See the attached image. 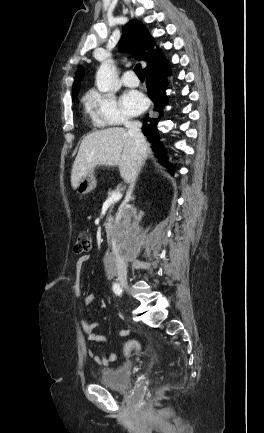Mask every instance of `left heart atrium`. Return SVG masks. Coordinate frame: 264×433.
<instances>
[{"label": "left heart atrium", "instance_id": "1", "mask_svg": "<svg viewBox=\"0 0 264 433\" xmlns=\"http://www.w3.org/2000/svg\"><path fill=\"white\" fill-rule=\"evenodd\" d=\"M122 105L130 115L140 114L147 106L144 96L137 91H130L123 95Z\"/></svg>", "mask_w": 264, "mask_h": 433}]
</instances>
